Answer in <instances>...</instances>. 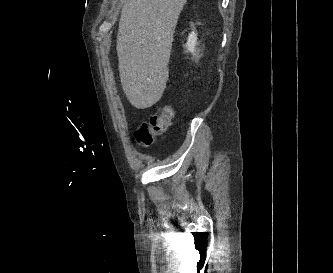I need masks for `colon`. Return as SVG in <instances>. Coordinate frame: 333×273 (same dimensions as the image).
Segmentation results:
<instances>
[{"instance_id":"colon-1","label":"colon","mask_w":333,"mask_h":273,"mask_svg":"<svg viewBox=\"0 0 333 273\" xmlns=\"http://www.w3.org/2000/svg\"><path fill=\"white\" fill-rule=\"evenodd\" d=\"M174 117L173 108L169 105L161 106L148 121L143 122L135 132L137 142L142 146H150L158 136L163 135Z\"/></svg>"}]
</instances>
